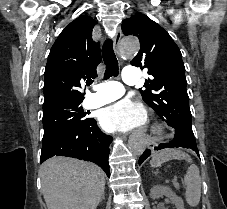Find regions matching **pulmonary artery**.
Listing matches in <instances>:
<instances>
[{"label": "pulmonary artery", "mask_w": 227, "mask_h": 209, "mask_svg": "<svg viewBox=\"0 0 227 209\" xmlns=\"http://www.w3.org/2000/svg\"><path fill=\"white\" fill-rule=\"evenodd\" d=\"M141 71L136 70L135 66H125L123 71V83L131 85L138 83L137 75ZM107 87V88H102ZM103 91V92H102ZM97 92V93H96ZM124 94L122 84H110L109 82H95V87H91L90 91H86L84 104L89 108H95L110 103Z\"/></svg>", "instance_id": "e3ab8cb5"}]
</instances>
